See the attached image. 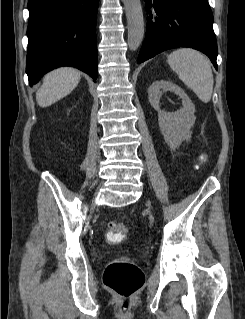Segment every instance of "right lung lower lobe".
<instances>
[{
  "instance_id": "98d812e1",
  "label": "right lung lower lobe",
  "mask_w": 245,
  "mask_h": 319,
  "mask_svg": "<svg viewBox=\"0 0 245 319\" xmlns=\"http://www.w3.org/2000/svg\"><path fill=\"white\" fill-rule=\"evenodd\" d=\"M99 0H29L26 73L30 86L50 70L73 66L97 78Z\"/></svg>"
}]
</instances>
